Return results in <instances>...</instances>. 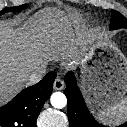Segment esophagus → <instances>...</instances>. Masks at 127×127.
<instances>
[{
  "label": "esophagus",
  "mask_w": 127,
  "mask_h": 127,
  "mask_svg": "<svg viewBox=\"0 0 127 127\" xmlns=\"http://www.w3.org/2000/svg\"><path fill=\"white\" fill-rule=\"evenodd\" d=\"M53 86L55 90H62L64 88V82L61 78L57 77L54 81Z\"/></svg>",
  "instance_id": "obj_1"
}]
</instances>
